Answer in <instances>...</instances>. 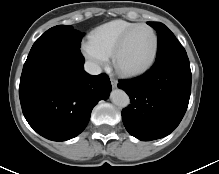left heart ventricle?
Listing matches in <instances>:
<instances>
[{"mask_svg":"<svg viewBox=\"0 0 219 174\" xmlns=\"http://www.w3.org/2000/svg\"><path fill=\"white\" fill-rule=\"evenodd\" d=\"M154 49V37L147 28L136 30L128 40L119 57V65L124 69H137L151 58Z\"/></svg>","mask_w":219,"mask_h":174,"instance_id":"1","label":"left heart ventricle"}]
</instances>
